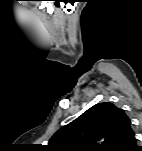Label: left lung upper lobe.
<instances>
[{
  "mask_svg": "<svg viewBox=\"0 0 142 151\" xmlns=\"http://www.w3.org/2000/svg\"><path fill=\"white\" fill-rule=\"evenodd\" d=\"M133 135L124 110L103 102L58 130L49 147L54 151H122Z\"/></svg>",
  "mask_w": 142,
  "mask_h": 151,
  "instance_id": "5c2ea615",
  "label": "left lung upper lobe"
}]
</instances>
